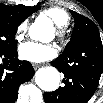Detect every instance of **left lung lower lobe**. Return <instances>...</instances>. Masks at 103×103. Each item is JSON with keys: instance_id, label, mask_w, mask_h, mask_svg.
Instances as JSON below:
<instances>
[{"instance_id": "obj_1", "label": "left lung lower lobe", "mask_w": 103, "mask_h": 103, "mask_svg": "<svg viewBox=\"0 0 103 103\" xmlns=\"http://www.w3.org/2000/svg\"><path fill=\"white\" fill-rule=\"evenodd\" d=\"M51 64L64 74L65 86L44 93L45 102L87 103L103 72V44L99 33H88L77 49L60 55Z\"/></svg>"}]
</instances>
